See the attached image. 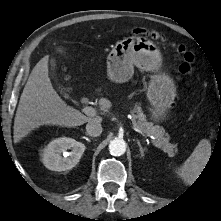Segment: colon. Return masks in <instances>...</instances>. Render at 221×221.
Instances as JSON below:
<instances>
[{
	"mask_svg": "<svg viewBox=\"0 0 221 221\" xmlns=\"http://www.w3.org/2000/svg\"><path fill=\"white\" fill-rule=\"evenodd\" d=\"M135 35H146L154 40L163 41L164 37L155 31H146L143 29H135L133 31ZM174 49L182 55L183 62L179 67V76L178 80L183 82L184 79L194 72V62H195V55L188 51L183 45H174Z\"/></svg>",
	"mask_w": 221,
	"mask_h": 221,
	"instance_id": "1",
	"label": "colon"
}]
</instances>
